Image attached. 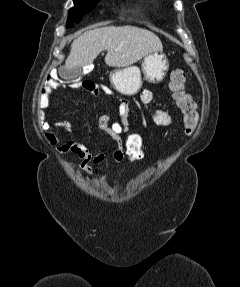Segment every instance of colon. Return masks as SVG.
Here are the masks:
<instances>
[{"instance_id":"colon-1","label":"colon","mask_w":240,"mask_h":287,"mask_svg":"<svg viewBox=\"0 0 240 287\" xmlns=\"http://www.w3.org/2000/svg\"><path fill=\"white\" fill-rule=\"evenodd\" d=\"M187 73L181 68L172 70L170 75V90L172 91L176 105L183 113L185 134L191 135L198 124V113L191 96L185 91ZM72 88H81L91 91L95 88V83L84 80L69 85ZM111 128L116 136L122 139V148L125 159L132 165H138L145 157L143 137L138 133L129 132L128 129L119 122L111 124Z\"/></svg>"}]
</instances>
